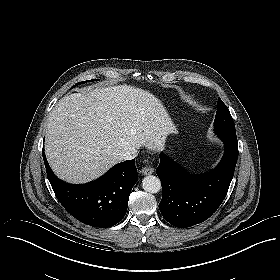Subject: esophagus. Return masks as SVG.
I'll return each mask as SVG.
<instances>
[{
  "label": "esophagus",
  "instance_id": "obj_1",
  "mask_svg": "<svg viewBox=\"0 0 280 280\" xmlns=\"http://www.w3.org/2000/svg\"><path fill=\"white\" fill-rule=\"evenodd\" d=\"M142 175H151L154 173V168L150 165L141 170Z\"/></svg>",
  "mask_w": 280,
  "mask_h": 280
}]
</instances>
